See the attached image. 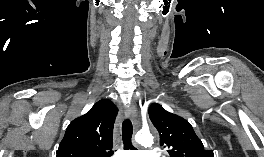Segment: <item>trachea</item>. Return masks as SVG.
Masks as SVG:
<instances>
[{"instance_id":"trachea-1","label":"trachea","mask_w":264,"mask_h":157,"mask_svg":"<svg viewBox=\"0 0 264 157\" xmlns=\"http://www.w3.org/2000/svg\"><path fill=\"white\" fill-rule=\"evenodd\" d=\"M132 134H133V126L129 119H126L122 124V140L124 144V149L134 150V146L132 145Z\"/></svg>"}]
</instances>
